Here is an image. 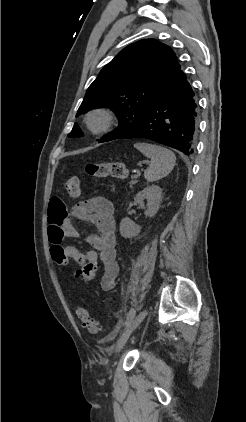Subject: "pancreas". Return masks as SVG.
I'll list each match as a JSON object with an SVG mask.
<instances>
[{
  "instance_id": "cf45deb5",
  "label": "pancreas",
  "mask_w": 246,
  "mask_h": 422,
  "mask_svg": "<svg viewBox=\"0 0 246 422\" xmlns=\"http://www.w3.org/2000/svg\"><path fill=\"white\" fill-rule=\"evenodd\" d=\"M135 183H137V180H136V178L133 176V177H132V180H131V182H130V186L134 185Z\"/></svg>"
}]
</instances>
